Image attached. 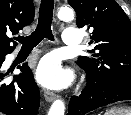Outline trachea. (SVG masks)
Masks as SVG:
<instances>
[{"label": "trachea", "mask_w": 131, "mask_h": 115, "mask_svg": "<svg viewBox=\"0 0 131 115\" xmlns=\"http://www.w3.org/2000/svg\"><path fill=\"white\" fill-rule=\"evenodd\" d=\"M54 0H42L39 9V19L36 30L29 36L17 37V41L22 44V49H33L44 38L54 40L51 25L53 17Z\"/></svg>", "instance_id": "trachea-1"}]
</instances>
